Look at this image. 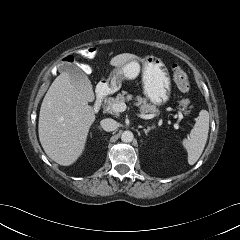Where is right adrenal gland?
I'll use <instances>...</instances> for the list:
<instances>
[{
	"label": "right adrenal gland",
	"instance_id": "2a0ac1e0",
	"mask_svg": "<svg viewBox=\"0 0 240 240\" xmlns=\"http://www.w3.org/2000/svg\"><path fill=\"white\" fill-rule=\"evenodd\" d=\"M98 128H99V129L102 131V129H101V127H100V126H99Z\"/></svg>",
	"mask_w": 240,
	"mask_h": 240
}]
</instances>
